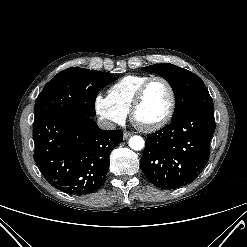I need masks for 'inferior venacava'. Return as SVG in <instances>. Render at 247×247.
Instances as JSON below:
<instances>
[{"mask_svg":"<svg viewBox=\"0 0 247 247\" xmlns=\"http://www.w3.org/2000/svg\"><path fill=\"white\" fill-rule=\"evenodd\" d=\"M97 124L101 129H104V130H113L116 128V125L113 122L107 119H104V118H99L97 120Z\"/></svg>","mask_w":247,"mask_h":247,"instance_id":"1","label":"inferior vena cava"}]
</instances>
